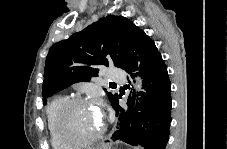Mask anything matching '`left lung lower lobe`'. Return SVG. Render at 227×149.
<instances>
[{
    "mask_svg": "<svg viewBox=\"0 0 227 149\" xmlns=\"http://www.w3.org/2000/svg\"><path fill=\"white\" fill-rule=\"evenodd\" d=\"M128 73L139 70L143 78L140 103L135 93L129 96L127 108L119 105L121 95L112 103L119 117L118 129L112 139L121 140L145 149H165L171 122V83L167 67L154 41L139 28H135L128 47L127 59L122 68ZM135 74H131L133 78Z\"/></svg>",
    "mask_w": 227,
    "mask_h": 149,
    "instance_id": "obj_1",
    "label": "left lung lower lobe"
}]
</instances>
